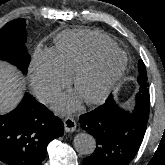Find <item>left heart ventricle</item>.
Wrapping results in <instances>:
<instances>
[{
  "instance_id": "obj_1",
  "label": "left heart ventricle",
  "mask_w": 165,
  "mask_h": 165,
  "mask_svg": "<svg viewBox=\"0 0 165 165\" xmlns=\"http://www.w3.org/2000/svg\"><path fill=\"white\" fill-rule=\"evenodd\" d=\"M122 61L119 55H107L79 80L76 92L82 99L94 96L107 78L120 66Z\"/></svg>"
}]
</instances>
